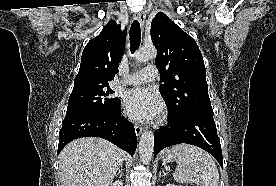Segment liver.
<instances>
[{"label":"liver","instance_id":"1","mask_svg":"<svg viewBox=\"0 0 276 186\" xmlns=\"http://www.w3.org/2000/svg\"><path fill=\"white\" fill-rule=\"evenodd\" d=\"M125 157V152L107 140L76 139L58 157L64 186H110Z\"/></svg>","mask_w":276,"mask_h":186}]
</instances>
